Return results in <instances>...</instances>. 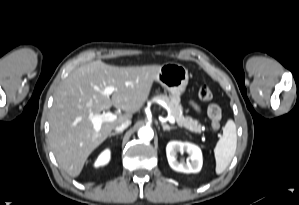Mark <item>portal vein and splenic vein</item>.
I'll list each match as a JSON object with an SVG mask.
<instances>
[{"mask_svg":"<svg viewBox=\"0 0 299 205\" xmlns=\"http://www.w3.org/2000/svg\"><path fill=\"white\" fill-rule=\"evenodd\" d=\"M114 91H115V88L113 86H107L104 89L103 94L109 96ZM115 119H116V115L113 114L112 112H106V113L97 114V115H93V114L89 115V120L92 122L94 130H95L96 133H98L100 131L102 123L112 122ZM167 119L171 124L175 123V119L171 115H169L167 117Z\"/></svg>","mask_w":299,"mask_h":205,"instance_id":"obj_1","label":"portal vein and splenic vein"}]
</instances>
